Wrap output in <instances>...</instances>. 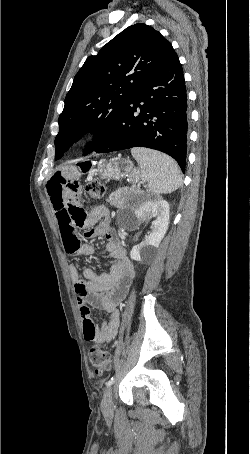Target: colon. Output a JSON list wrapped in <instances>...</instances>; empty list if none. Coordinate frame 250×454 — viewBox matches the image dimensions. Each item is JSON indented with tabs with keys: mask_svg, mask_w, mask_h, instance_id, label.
Masks as SVG:
<instances>
[{
	"mask_svg": "<svg viewBox=\"0 0 250 454\" xmlns=\"http://www.w3.org/2000/svg\"><path fill=\"white\" fill-rule=\"evenodd\" d=\"M86 193L91 200H98L103 197L105 187L98 181H92L86 185ZM89 359L92 367L99 374L109 370L111 367V353L99 345H94L90 348Z\"/></svg>",
	"mask_w": 250,
	"mask_h": 454,
	"instance_id": "colon-1",
	"label": "colon"
}]
</instances>
